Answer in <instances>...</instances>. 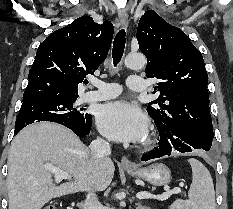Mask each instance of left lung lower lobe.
<instances>
[{
  "label": "left lung lower lobe",
  "instance_id": "obj_1",
  "mask_svg": "<svg viewBox=\"0 0 233 209\" xmlns=\"http://www.w3.org/2000/svg\"><path fill=\"white\" fill-rule=\"evenodd\" d=\"M159 131V146L141 157L142 161L159 158L171 153L192 152L194 149L209 151L213 137L202 134L187 125H156Z\"/></svg>",
  "mask_w": 233,
  "mask_h": 209
}]
</instances>
